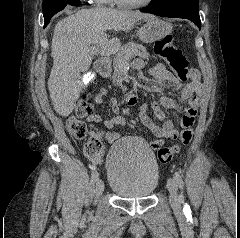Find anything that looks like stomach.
I'll use <instances>...</instances> for the list:
<instances>
[{"label": "stomach", "mask_w": 240, "mask_h": 238, "mask_svg": "<svg viewBox=\"0 0 240 238\" xmlns=\"http://www.w3.org/2000/svg\"><path fill=\"white\" fill-rule=\"evenodd\" d=\"M172 32L171 23L159 18L147 21L139 30V38L143 43H153Z\"/></svg>", "instance_id": "obj_1"}]
</instances>
